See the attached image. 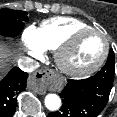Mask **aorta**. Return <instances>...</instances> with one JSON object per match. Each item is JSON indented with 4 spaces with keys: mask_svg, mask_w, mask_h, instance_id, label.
<instances>
[{
    "mask_svg": "<svg viewBox=\"0 0 117 117\" xmlns=\"http://www.w3.org/2000/svg\"><path fill=\"white\" fill-rule=\"evenodd\" d=\"M45 106L50 111H57L61 106V99L57 94H48L44 100Z\"/></svg>",
    "mask_w": 117,
    "mask_h": 117,
    "instance_id": "762f6f07",
    "label": "aorta"
}]
</instances>
